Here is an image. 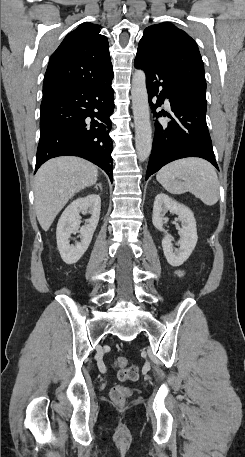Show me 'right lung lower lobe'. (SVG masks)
Here are the masks:
<instances>
[{
	"instance_id": "1",
	"label": "right lung lower lobe",
	"mask_w": 245,
	"mask_h": 457,
	"mask_svg": "<svg viewBox=\"0 0 245 457\" xmlns=\"http://www.w3.org/2000/svg\"><path fill=\"white\" fill-rule=\"evenodd\" d=\"M113 75L79 84L43 98L36 169L63 155L87 159L113 181V150L109 136L114 110Z\"/></svg>"
}]
</instances>
